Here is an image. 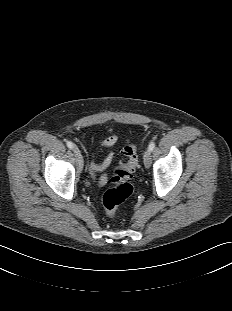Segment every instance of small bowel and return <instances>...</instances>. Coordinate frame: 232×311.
<instances>
[{
  "label": "small bowel",
  "instance_id": "c3829d8e",
  "mask_svg": "<svg viewBox=\"0 0 232 311\" xmlns=\"http://www.w3.org/2000/svg\"><path fill=\"white\" fill-rule=\"evenodd\" d=\"M118 140V137L116 135H111L109 137H107L104 141H102L101 143V148H107V147H111L113 146ZM112 154H109L104 161L102 162H96L95 160H92L89 163V170L91 172V175L93 177H95V173L103 171L105 168L108 167V165L111 163L112 161ZM105 181V177H102L99 181V184H103Z\"/></svg>",
  "mask_w": 232,
  "mask_h": 311
}]
</instances>
